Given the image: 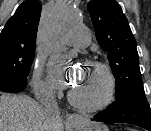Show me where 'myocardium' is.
<instances>
[{
    "label": "myocardium",
    "mask_w": 151,
    "mask_h": 131,
    "mask_svg": "<svg viewBox=\"0 0 151 131\" xmlns=\"http://www.w3.org/2000/svg\"><path fill=\"white\" fill-rule=\"evenodd\" d=\"M86 67L95 68L101 71L105 77L106 88L104 94L95 101H84L78 98L72 91L68 94L70 103L81 111L85 112H98L107 108L114 100L116 94V81L115 77L109 68L100 61H88Z\"/></svg>",
    "instance_id": "myocardium-1"
}]
</instances>
